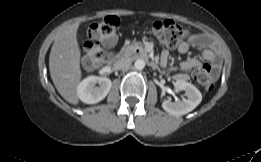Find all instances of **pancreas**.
I'll use <instances>...</instances> for the list:
<instances>
[{
    "mask_svg": "<svg viewBox=\"0 0 261 162\" xmlns=\"http://www.w3.org/2000/svg\"><path fill=\"white\" fill-rule=\"evenodd\" d=\"M139 50V52H144V48L142 46V43L133 41L127 45H125L121 50V56H132L136 53V51Z\"/></svg>",
    "mask_w": 261,
    "mask_h": 162,
    "instance_id": "1",
    "label": "pancreas"
}]
</instances>
